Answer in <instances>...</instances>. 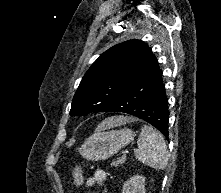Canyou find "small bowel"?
I'll return each instance as SVG.
<instances>
[{
	"instance_id": "c3829d8e",
	"label": "small bowel",
	"mask_w": 221,
	"mask_h": 193,
	"mask_svg": "<svg viewBox=\"0 0 221 193\" xmlns=\"http://www.w3.org/2000/svg\"><path fill=\"white\" fill-rule=\"evenodd\" d=\"M107 181V175L102 170H97L87 180L86 185L88 187H95L97 185L104 184Z\"/></svg>"
}]
</instances>
